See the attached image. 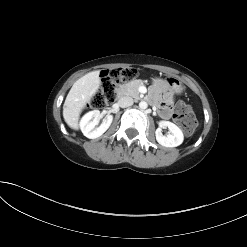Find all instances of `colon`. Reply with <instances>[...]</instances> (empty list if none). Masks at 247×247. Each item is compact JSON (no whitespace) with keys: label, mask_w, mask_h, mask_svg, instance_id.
<instances>
[{"label":"colon","mask_w":247,"mask_h":247,"mask_svg":"<svg viewBox=\"0 0 247 247\" xmlns=\"http://www.w3.org/2000/svg\"><path fill=\"white\" fill-rule=\"evenodd\" d=\"M137 76V70L132 67L114 68L103 72L102 85L92 97L91 105L94 108H104L117 97V86ZM174 119L185 135H191L197 127L196 117L187 104L178 102L175 107Z\"/></svg>","instance_id":"5ec220e1"}]
</instances>
